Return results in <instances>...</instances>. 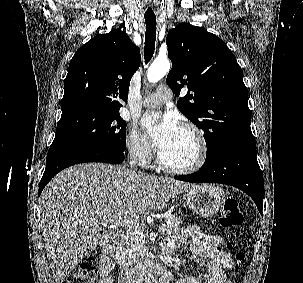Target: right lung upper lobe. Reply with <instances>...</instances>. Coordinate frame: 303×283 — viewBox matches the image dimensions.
Segmentation results:
<instances>
[{
  "mask_svg": "<svg viewBox=\"0 0 303 283\" xmlns=\"http://www.w3.org/2000/svg\"><path fill=\"white\" fill-rule=\"evenodd\" d=\"M140 61L139 48L121 30L91 39L70 61L61 116L83 111L119 113V101L127 102Z\"/></svg>",
  "mask_w": 303,
  "mask_h": 283,
  "instance_id": "1",
  "label": "right lung upper lobe"
}]
</instances>
